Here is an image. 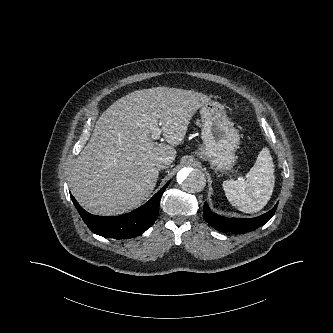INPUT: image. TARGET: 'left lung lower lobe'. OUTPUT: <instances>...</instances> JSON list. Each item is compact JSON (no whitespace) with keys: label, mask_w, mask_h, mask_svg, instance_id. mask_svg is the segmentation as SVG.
<instances>
[{"label":"left lung lower lobe","mask_w":333,"mask_h":333,"mask_svg":"<svg viewBox=\"0 0 333 333\" xmlns=\"http://www.w3.org/2000/svg\"><path fill=\"white\" fill-rule=\"evenodd\" d=\"M276 208L277 204L272 210L256 218L237 219L226 218L213 213L210 210L208 204L205 202L203 216L211 226L221 232H232L234 234H240L253 231L264 225L274 215Z\"/></svg>","instance_id":"1"}]
</instances>
